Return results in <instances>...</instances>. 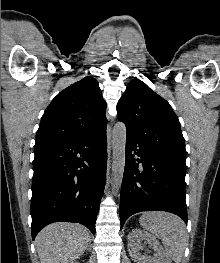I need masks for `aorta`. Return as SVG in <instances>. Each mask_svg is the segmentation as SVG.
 Listing matches in <instances>:
<instances>
[{
  "label": "aorta",
  "mask_w": 220,
  "mask_h": 263,
  "mask_svg": "<svg viewBox=\"0 0 220 263\" xmlns=\"http://www.w3.org/2000/svg\"><path fill=\"white\" fill-rule=\"evenodd\" d=\"M113 163H112V191L118 193L123 179L126 158V126L122 122L115 124L112 132Z\"/></svg>",
  "instance_id": "obj_1"
}]
</instances>
